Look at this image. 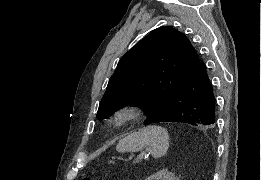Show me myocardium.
<instances>
[{
    "mask_svg": "<svg viewBox=\"0 0 261 180\" xmlns=\"http://www.w3.org/2000/svg\"><path fill=\"white\" fill-rule=\"evenodd\" d=\"M138 115V109L131 104H124L116 107L111 113V122L120 127L133 121Z\"/></svg>",
    "mask_w": 261,
    "mask_h": 180,
    "instance_id": "obj_1",
    "label": "myocardium"
}]
</instances>
